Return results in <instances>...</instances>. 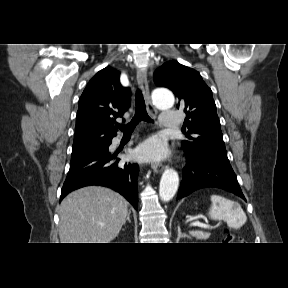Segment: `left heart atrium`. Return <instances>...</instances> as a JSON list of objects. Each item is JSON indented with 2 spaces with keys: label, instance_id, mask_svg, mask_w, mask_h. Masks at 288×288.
Wrapping results in <instances>:
<instances>
[{
  "label": "left heart atrium",
  "instance_id": "1",
  "mask_svg": "<svg viewBox=\"0 0 288 288\" xmlns=\"http://www.w3.org/2000/svg\"><path fill=\"white\" fill-rule=\"evenodd\" d=\"M136 154L145 160H161L166 157L167 149L160 138L151 137L138 147Z\"/></svg>",
  "mask_w": 288,
  "mask_h": 288
}]
</instances>
